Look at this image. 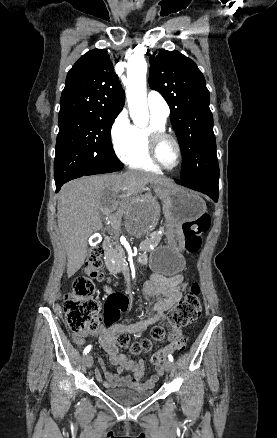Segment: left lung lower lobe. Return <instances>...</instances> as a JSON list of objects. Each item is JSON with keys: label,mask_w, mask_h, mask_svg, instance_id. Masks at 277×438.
<instances>
[{"label": "left lung lower lobe", "mask_w": 277, "mask_h": 438, "mask_svg": "<svg viewBox=\"0 0 277 438\" xmlns=\"http://www.w3.org/2000/svg\"><path fill=\"white\" fill-rule=\"evenodd\" d=\"M176 182L185 187L207 194L215 202L218 201V195H219L218 184L204 183V182H185L180 180H176Z\"/></svg>", "instance_id": "1"}]
</instances>
